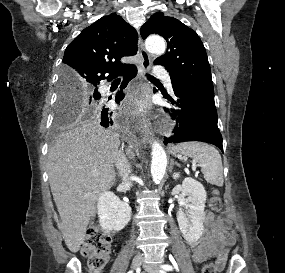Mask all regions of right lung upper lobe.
Listing matches in <instances>:
<instances>
[{
	"mask_svg": "<svg viewBox=\"0 0 285 273\" xmlns=\"http://www.w3.org/2000/svg\"><path fill=\"white\" fill-rule=\"evenodd\" d=\"M137 39L136 30L119 15L104 16L67 46L62 73L81 84L96 86L102 79L113 78L131 66L122 64L120 58L136 54Z\"/></svg>",
	"mask_w": 285,
	"mask_h": 273,
	"instance_id": "cb5924a9",
	"label": "right lung upper lobe"
}]
</instances>
